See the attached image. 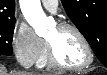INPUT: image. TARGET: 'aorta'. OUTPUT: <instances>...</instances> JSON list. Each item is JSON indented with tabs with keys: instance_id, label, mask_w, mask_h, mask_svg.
Returning a JSON list of instances; mask_svg holds the SVG:
<instances>
[{
	"instance_id": "obj_1",
	"label": "aorta",
	"mask_w": 107,
	"mask_h": 75,
	"mask_svg": "<svg viewBox=\"0 0 107 75\" xmlns=\"http://www.w3.org/2000/svg\"><path fill=\"white\" fill-rule=\"evenodd\" d=\"M21 11L26 21L32 26L38 36H45L49 21L43 12L40 0H20Z\"/></svg>"
}]
</instances>
